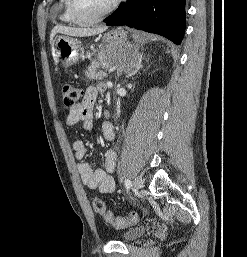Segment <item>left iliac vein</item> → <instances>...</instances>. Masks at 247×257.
<instances>
[{
    "instance_id": "1",
    "label": "left iliac vein",
    "mask_w": 247,
    "mask_h": 257,
    "mask_svg": "<svg viewBox=\"0 0 247 257\" xmlns=\"http://www.w3.org/2000/svg\"><path fill=\"white\" fill-rule=\"evenodd\" d=\"M133 184L136 191H140L143 188V181L140 177H135Z\"/></svg>"
}]
</instances>
